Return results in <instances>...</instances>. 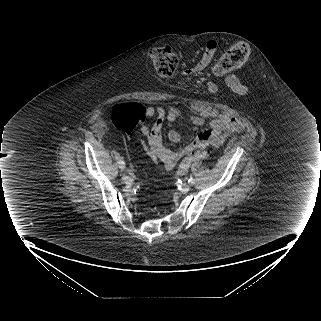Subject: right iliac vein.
Returning a JSON list of instances; mask_svg holds the SVG:
<instances>
[{
	"instance_id": "obj_1",
	"label": "right iliac vein",
	"mask_w": 321,
	"mask_h": 321,
	"mask_svg": "<svg viewBox=\"0 0 321 321\" xmlns=\"http://www.w3.org/2000/svg\"><path fill=\"white\" fill-rule=\"evenodd\" d=\"M122 179H123V181H124L126 184H131V183H132L131 177L128 176V175H126V174H124V175L122 176Z\"/></svg>"
}]
</instances>
